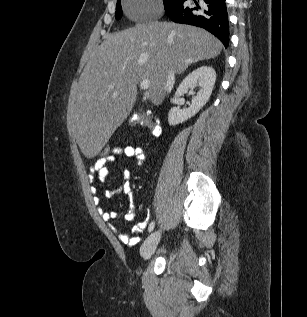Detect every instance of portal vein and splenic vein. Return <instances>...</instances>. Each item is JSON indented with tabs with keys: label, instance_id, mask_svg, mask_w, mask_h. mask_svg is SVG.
<instances>
[{
	"label": "portal vein and splenic vein",
	"instance_id": "obj_1",
	"mask_svg": "<svg viewBox=\"0 0 307 317\" xmlns=\"http://www.w3.org/2000/svg\"><path fill=\"white\" fill-rule=\"evenodd\" d=\"M138 82L140 83L141 89L147 90L149 88V85H150V81L149 80L144 79V80H140Z\"/></svg>",
	"mask_w": 307,
	"mask_h": 317
}]
</instances>
